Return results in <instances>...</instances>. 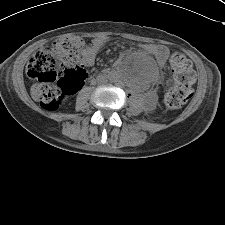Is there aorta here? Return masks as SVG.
Returning <instances> with one entry per match:
<instances>
[{"label": "aorta", "instance_id": "aorta-1", "mask_svg": "<svg viewBox=\"0 0 225 225\" xmlns=\"http://www.w3.org/2000/svg\"><path fill=\"white\" fill-rule=\"evenodd\" d=\"M109 80L112 81V82H117L118 81V77L115 76V75H111V76H109Z\"/></svg>", "mask_w": 225, "mask_h": 225}]
</instances>
